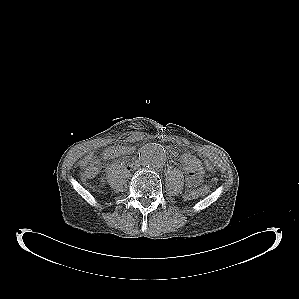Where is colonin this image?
<instances>
[{"label": "colon", "mask_w": 299, "mask_h": 299, "mask_svg": "<svg viewBox=\"0 0 299 299\" xmlns=\"http://www.w3.org/2000/svg\"><path fill=\"white\" fill-rule=\"evenodd\" d=\"M180 161L185 169L191 170L196 173L203 172V164L201 160L194 154L190 152H181L179 155ZM84 174L87 177H93L96 174V166L92 163L89 158L83 161ZM208 189V186L204 185L190 192L189 196L191 198H197L204 194Z\"/></svg>", "instance_id": "obj_1"}]
</instances>
